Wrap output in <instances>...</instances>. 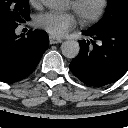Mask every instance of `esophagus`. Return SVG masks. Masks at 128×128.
<instances>
[{"label": "esophagus", "mask_w": 128, "mask_h": 128, "mask_svg": "<svg viewBox=\"0 0 128 128\" xmlns=\"http://www.w3.org/2000/svg\"><path fill=\"white\" fill-rule=\"evenodd\" d=\"M60 42H62V39L56 38L54 36H49V43L50 44H57V43H60Z\"/></svg>", "instance_id": "34e87169"}]
</instances>
